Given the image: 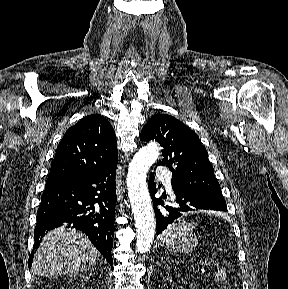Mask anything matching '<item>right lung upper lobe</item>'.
<instances>
[{"instance_id": "cb5924a9", "label": "right lung upper lobe", "mask_w": 288, "mask_h": 289, "mask_svg": "<svg viewBox=\"0 0 288 289\" xmlns=\"http://www.w3.org/2000/svg\"><path fill=\"white\" fill-rule=\"evenodd\" d=\"M117 159L112 126L101 115L92 114L66 131L57 147L47 182L93 172Z\"/></svg>"}]
</instances>
